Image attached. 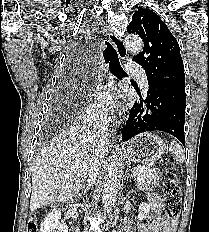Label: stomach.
Returning <instances> with one entry per match:
<instances>
[{"mask_svg":"<svg viewBox=\"0 0 209 232\" xmlns=\"http://www.w3.org/2000/svg\"><path fill=\"white\" fill-rule=\"evenodd\" d=\"M165 144L162 139L153 133H143L124 146V153L128 160L154 163L164 154Z\"/></svg>","mask_w":209,"mask_h":232,"instance_id":"obj_1","label":"stomach"}]
</instances>
